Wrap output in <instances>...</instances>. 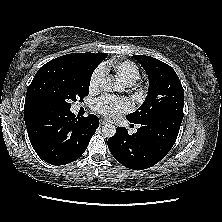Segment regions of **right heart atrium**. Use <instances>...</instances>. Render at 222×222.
Here are the masks:
<instances>
[{
	"label": "right heart atrium",
	"instance_id": "obj_1",
	"mask_svg": "<svg viewBox=\"0 0 222 222\" xmlns=\"http://www.w3.org/2000/svg\"><path fill=\"white\" fill-rule=\"evenodd\" d=\"M105 76V71L103 67L97 68L91 75L89 88L91 91H96L100 88Z\"/></svg>",
	"mask_w": 222,
	"mask_h": 222
}]
</instances>
